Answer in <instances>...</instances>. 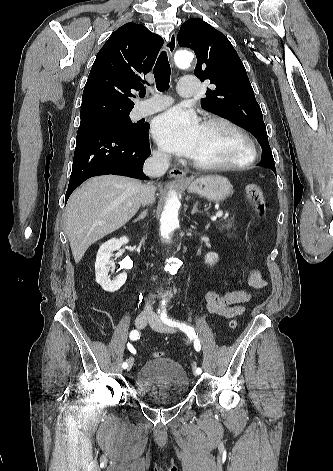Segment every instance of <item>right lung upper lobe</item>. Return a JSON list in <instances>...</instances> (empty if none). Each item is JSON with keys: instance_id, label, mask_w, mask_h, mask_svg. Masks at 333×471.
I'll return each instance as SVG.
<instances>
[{"instance_id": "right-lung-upper-lobe-1", "label": "right lung upper lobe", "mask_w": 333, "mask_h": 471, "mask_svg": "<svg viewBox=\"0 0 333 471\" xmlns=\"http://www.w3.org/2000/svg\"><path fill=\"white\" fill-rule=\"evenodd\" d=\"M163 39L144 25L127 23L118 28L98 52L87 79L81 120L131 111L133 90L144 88Z\"/></svg>"}]
</instances>
